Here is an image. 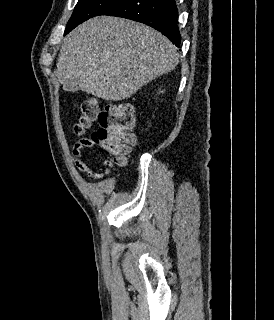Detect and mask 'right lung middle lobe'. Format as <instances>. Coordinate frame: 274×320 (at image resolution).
<instances>
[{"label":"right lung middle lobe","instance_id":"obj_1","mask_svg":"<svg viewBox=\"0 0 274 320\" xmlns=\"http://www.w3.org/2000/svg\"><path fill=\"white\" fill-rule=\"evenodd\" d=\"M118 1L119 0H79L66 26L64 35L69 33L80 23L100 15L104 10Z\"/></svg>","mask_w":274,"mask_h":320}]
</instances>
